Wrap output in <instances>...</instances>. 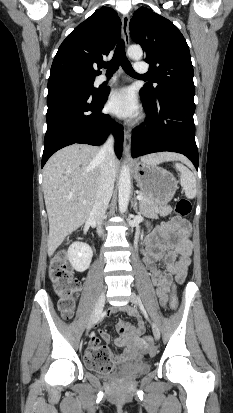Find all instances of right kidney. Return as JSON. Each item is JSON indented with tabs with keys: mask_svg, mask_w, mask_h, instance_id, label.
I'll return each mask as SVG.
<instances>
[{
	"mask_svg": "<svg viewBox=\"0 0 233 413\" xmlns=\"http://www.w3.org/2000/svg\"><path fill=\"white\" fill-rule=\"evenodd\" d=\"M92 256L93 251L91 247L82 242L72 243L67 252L69 262L77 272H84L89 268Z\"/></svg>",
	"mask_w": 233,
	"mask_h": 413,
	"instance_id": "obj_1",
	"label": "right kidney"
}]
</instances>
